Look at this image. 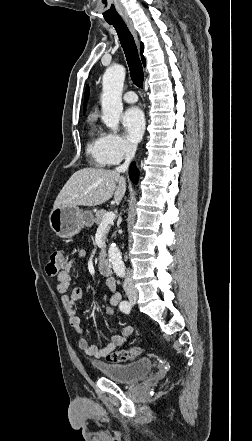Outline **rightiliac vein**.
<instances>
[{"label":"right iliac vein","mask_w":252,"mask_h":441,"mask_svg":"<svg viewBox=\"0 0 252 441\" xmlns=\"http://www.w3.org/2000/svg\"><path fill=\"white\" fill-rule=\"evenodd\" d=\"M127 297L132 304H136L138 300V294L135 290L127 289L126 290Z\"/></svg>","instance_id":"63e3f726"}]
</instances>
